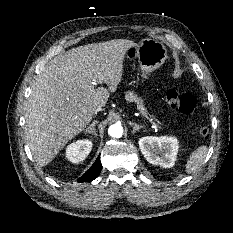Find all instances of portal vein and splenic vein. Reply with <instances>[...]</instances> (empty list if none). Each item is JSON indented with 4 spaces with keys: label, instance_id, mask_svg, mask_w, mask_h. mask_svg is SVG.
<instances>
[{
    "label": "portal vein and splenic vein",
    "instance_id": "1",
    "mask_svg": "<svg viewBox=\"0 0 233 233\" xmlns=\"http://www.w3.org/2000/svg\"><path fill=\"white\" fill-rule=\"evenodd\" d=\"M157 124L161 125V123L157 122Z\"/></svg>",
    "mask_w": 233,
    "mask_h": 233
}]
</instances>
